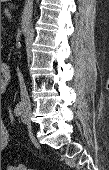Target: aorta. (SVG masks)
Listing matches in <instances>:
<instances>
[{"label":"aorta","mask_w":109,"mask_h":170,"mask_svg":"<svg viewBox=\"0 0 109 170\" xmlns=\"http://www.w3.org/2000/svg\"><path fill=\"white\" fill-rule=\"evenodd\" d=\"M26 30H27V24L24 25V31H26Z\"/></svg>","instance_id":"aorta-1"}]
</instances>
